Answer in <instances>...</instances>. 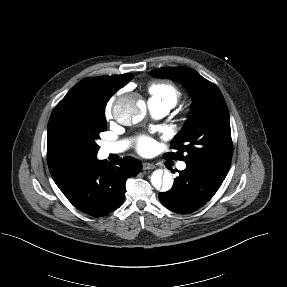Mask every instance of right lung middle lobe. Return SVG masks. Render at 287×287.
Returning a JSON list of instances; mask_svg holds the SVG:
<instances>
[{
  "mask_svg": "<svg viewBox=\"0 0 287 287\" xmlns=\"http://www.w3.org/2000/svg\"><path fill=\"white\" fill-rule=\"evenodd\" d=\"M108 99L90 95L68 105L59 120L58 143L62 151L78 160L96 157V140L106 130L104 110Z\"/></svg>",
  "mask_w": 287,
  "mask_h": 287,
  "instance_id": "dd1d6c3e",
  "label": "right lung middle lobe"
}]
</instances>
